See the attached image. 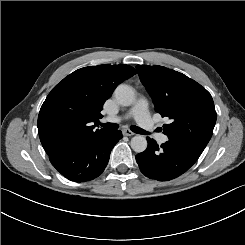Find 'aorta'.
Listing matches in <instances>:
<instances>
[{
    "instance_id": "aorta-1",
    "label": "aorta",
    "mask_w": 245,
    "mask_h": 245,
    "mask_svg": "<svg viewBox=\"0 0 245 245\" xmlns=\"http://www.w3.org/2000/svg\"><path fill=\"white\" fill-rule=\"evenodd\" d=\"M114 96L118 104L130 106L135 100V93L132 87L121 84L114 91ZM131 148L137 152H144L147 148V140L144 136L136 135L131 139Z\"/></svg>"
}]
</instances>
